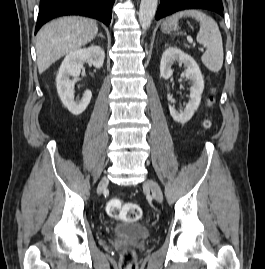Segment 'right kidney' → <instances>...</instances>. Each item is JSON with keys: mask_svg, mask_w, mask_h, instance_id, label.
Wrapping results in <instances>:
<instances>
[{"mask_svg": "<svg viewBox=\"0 0 265 269\" xmlns=\"http://www.w3.org/2000/svg\"><path fill=\"white\" fill-rule=\"evenodd\" d=\"M104 58V50L100 46L93 45L72 51L64 58L56 77V87L62 103L73 115L77 116L84 112L90 103L92 93L86 90L82 99L75 101L70 77L79 76L85 62L98 69L101 68Z\"/></svg>", "mask_w": 265, "mask_h": 269, "instance_id": "1", "label": "right kidney"}]
</instances>
